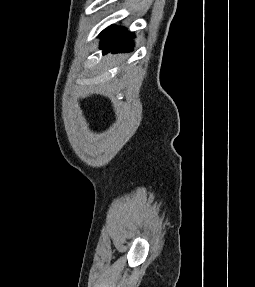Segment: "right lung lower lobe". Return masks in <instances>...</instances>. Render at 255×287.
<instances>
[{"label":"right lung lower lobe","instance_id":"1","mask_svg":"<svg viewBox=\"0 0 255 287\" xmlns=\"http://www.w3.org/2000/svg\"><path fill=\"white\" fill-rule=\"evenodd\" d=\"M102 33L100 48L104 53L131 51L134 46V34L123 27L110 26Z\"/></svg>","mask_w":255,"mask_h":287}]
</instances>
